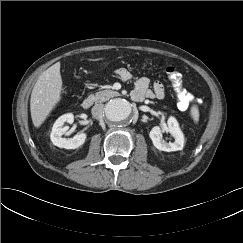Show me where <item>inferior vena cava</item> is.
I'll return each instance as SVG.
<instances>
[{
  "label": "inferior vena cava",
  "instance_id": "602c4592",
  "mask_svg": "<svg viewBox=\"0 0 243 243\" xmlns=\"http://www.w3.org/2000/svg\"><path fill=\"white\" fill-rule=\"evenodd\" d=\"M104 105L103 104H96L92 107V115L95 118H100L103 114Z\"/></svg>",
  "mask_w": 243,
  "mask_h": 243
}]
</instances>
